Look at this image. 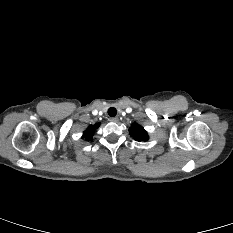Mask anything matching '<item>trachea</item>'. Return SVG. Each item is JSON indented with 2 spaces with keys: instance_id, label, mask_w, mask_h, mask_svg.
<instances>
[{
  "instance_id": "3493384b",
  "label": "trachea",
  "mask_w": 233,
  "mask_h": 233,
  "mask_svg": "<svg viewBox=\"0 0 233 233\" xmlns=\"http://www.w3.org/2000/svg\"><path fill=\"white\" fill-rule=\"evenodd\" d=\"M116 114H117V110L114 107H111L108 109V115L110 117H114V116H116Z\"/></svg>"
}]
</instances>
